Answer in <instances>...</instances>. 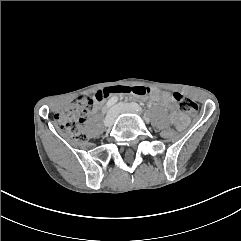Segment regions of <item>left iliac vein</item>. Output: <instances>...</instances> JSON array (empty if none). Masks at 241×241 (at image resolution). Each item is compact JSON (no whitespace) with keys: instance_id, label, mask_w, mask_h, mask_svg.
<instances>
[{"instance_id":"left-iliac-vein-1","label":"left iliac vein","mask_w":241,"mask_h":241,"mask_svg":"<svg viewBox=\"0 0 241 241\" xmlns=\"http://www.w3.org/2000/svg\"><path fill=\"white\" fill-rule=\"evenodd\" d=\"M118 113H135V109L132 108L130 104L119 103L116 105Z\"/></svg>"}]
</instances>
